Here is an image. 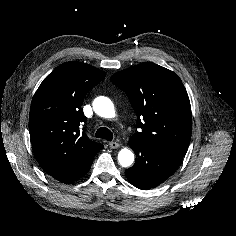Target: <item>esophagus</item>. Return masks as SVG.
I'll use <instances>...</instances> for the list:
<instances>
[{"instance_id":"esophagus-1","label":"esophagus","mask_w":236,"mask_h":236,"mask_svg":"<svg viewBox=\"0 0 236 236\" xmlns=\"http://www.w3.org/2000/svg\"><path fill=\"white\" fill-rule=\"evenodd\" d=\"M120 146V144L118 143V142H110L109 143V147L111 148V149H116V148H118Z\"/></svg>"}]
</instances>
